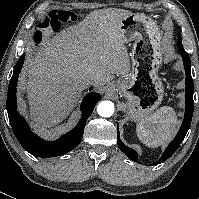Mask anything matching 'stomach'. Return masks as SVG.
I'll list each match as a JSON object with an SVG mask.
<instances>
[{
    "mask_svg": "<svg viewBox=\"0 0 199 199\" xmlns=\"http://www.w3.org/2000/svg\"><path fill=\"white\" fill-rule=\"evenodd\" d=\"M120 29L125 43H132L130 73L116 82L126 98L124 110L134 121L150 115L162 102L164 86L158 75L162 64V33L144 14H129Z\"/></svg>",
    "mask_w": 199,
    "mask_h": 199,
    "instance_id": "0dacf381",
    "label": "stomach"
}]
</instances>
